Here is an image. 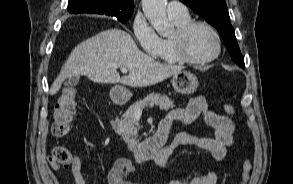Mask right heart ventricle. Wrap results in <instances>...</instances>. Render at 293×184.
<instances>
[{
    "label": "right heart ventricle",
    "mask_w": 293,
    "mask_h": 184,
    "mask_svg": "<svg viewBox=\"0 0 293 184\" xmlns=\"http://www.w3.org/2000/svg\"><path fill=\"white\" fill-rule=\"evenodd\" d=\"M170 18L175 24L176 28L185 25L186 23L191 21L189 15ZM154 57L162 62L169 64H175L180 62L173 52L171 36L160 38V47L157 54Z\"/></svg>",
    "instance_id": "right-heart-ventricle-1"
}]
</instances>
